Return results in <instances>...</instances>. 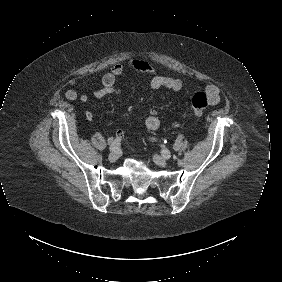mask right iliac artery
<instances>
[{
    "mask_svg": "<svg viewBox=\"0 0 282 282\" xmlns=\"http://www.w3.org/2000/svg\"><path fill=\"white\" fill-rule=\"evenodd\" d=\"M120 142H121V139L119 138H116V139H111L109 141V150L110 151H117L119 148H120Z\"/></svg>",
    "mask_w": 282,
    "mask_h": 282,
    "instance_id": "1",
    "label": "right iliac artery"
}]
</instances>
